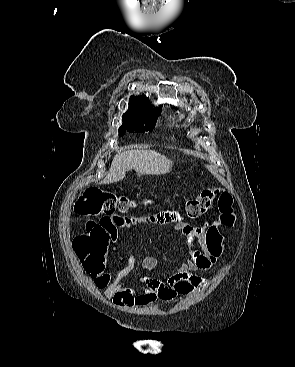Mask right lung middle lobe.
<instances>
[{
	"mask_svg": "<svg viewBox=\"0 0 295 367\" xmlns=\"http://www.w3.org/2000/svg\"><path fill=\"white\" fill-rule=\"evenodd\" d=\"M160 111L158 109L153 110L151 106L142 105L129 113H125L122 117L123 124L119 128V136H123L126 132L143 133L152 131Z\"/></svg>",
	"mask_w": 295,
	"mask_h": 367,
	"instance_id": "right-lung-middle-lobe-1",
	"label": "right lung middle lobe"
}]
</instances>
